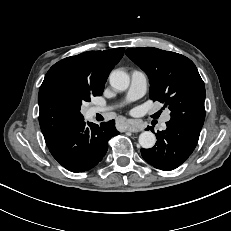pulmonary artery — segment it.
I'll return each mask as SVG.
<instances>
[{
	"mask_svg": "<svg viewBox=\"0 0 231 231\" xmlns=\"http://www.w3.org/2000/svg\"><path fill=\"white\" fill-rule=\"evenodd\" d=\"M130 76H131V84L126 96L127 101H133L141 98L146 93V89H147V77L143 71L133 70L131 71ZM106 110L107 109L105 108L94 107L90 110V114L94 115L96 113L104 112ZM169 120H170V113L165 112L162 116L160 129H165L166 123Z\"/></svg>",
	"mask_w": 231,
	"mask_h": 231,
	"instance_id": "e3ab8cb5",
	"label": "pulmonary artery"
}]
</instances>
